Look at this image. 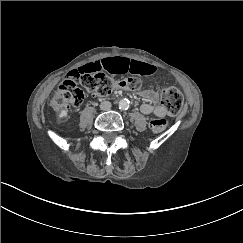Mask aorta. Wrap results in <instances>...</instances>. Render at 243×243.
I'll return each instance as SVG.
<instances>
[{
	"instance_id": "obj_1",
	"label": "aorta",
	"mask_w": 243,
	"mask_h": 243,
	"mask_svg": "<svg viewBox=\"0 0 243 243\" xmlns=\"http://www.w3.org/2000/svg\"><path fill=\"white\" fill-rule=\"evenodd\" d=\"M128 106H129V102L126 99H123L119 102L120 109L126 110L128 108Z\"/></svg>"
}]
</instances>
